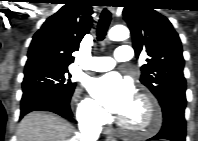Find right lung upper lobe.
<instances>
[{
	"mask_svg": "<svg viewBox=\"0 0 198 141\" xmlns=\"http://www.w3.org/2000/svg\"><path fill=\"white\" fill-rule=\"evenodd\" d=\"M88 0H70L50 16L35 33L28 51L25 72L41 68H68L72 53L92 26Z\"/></svg>",
	"mask_w": 198,
	"mask_h": 141,
	"instance_id": "obj_1",
	"label": "right lung upper lobe"
}]
</instances>
